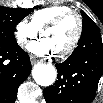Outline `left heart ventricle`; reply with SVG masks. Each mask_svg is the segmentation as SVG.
Listing matches in <instances>:
<instances>
[{"instance_id":"1","label":"left heart ventricle","mask_w":103,"mask_h":103,"mask_svg":"<svg viewBox=\"0 0 103 103\" xmlns=\"http://www.w3.org/2000/svg\"><path fill=\"white\" fill-rule=\"evenodd\" d=\"M76 30L77 20L74 17H70L58 27L44 32L43 37H46L51 41L56 53L70 44L76 34Z\"/></svg>"}]
</instances>
